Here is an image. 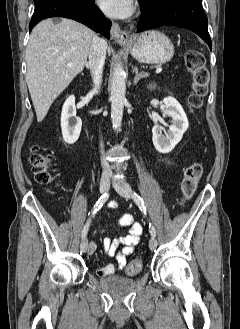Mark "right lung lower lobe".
Segmentation results:
<instances>
[{"instance_id": "right-lung-lower-lobe-1", "label": "right lung lower lobe", "mask_w": 240, "mask_h": 329, "mask_svg": "<svg viewBox=\"0 0 240 329\" xmlns=\"http://www.w3.org/2000/svg\"><path fill=\"white\" fill-rule=\"evenodd\" d=\"M35 10L29 24L31 30L38 22L50 17L76 20L110 38L111 22L94 4V0H34Z\"/></svg>"}]
</instances>
